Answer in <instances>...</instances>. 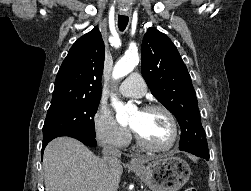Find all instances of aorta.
<instances>
[{
  "label": "aorta",
  "mask_w": 251,
  "mask_h": 191,
  "mask_svg": "<svg viewBox=\"0 0 251 191\" xmlns=\"http://www.w3.org/2000/svg\"><path fill=\"white\" fill-rule=\"evenodd\" d=\"M138 62L139 56L137 52H126L125 56H123V58H121V60L115 64L112 74L113 78H115V80L124 78V76H127V74H130V72L134 70ZM112 105L116 111L117 121L128 119L129 113L134 111V105H127V103H123V101H118L116 97H113Z\"/></svg>",
  "instance_id": "762f6f07"
}]
</instances>
